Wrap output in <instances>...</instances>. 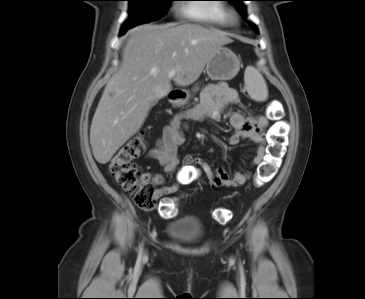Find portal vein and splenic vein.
Listing matches in <instances>:
<instances>
[{
    "label": "portal vein and splenic vein",
    "mask_w": 365,
    "mask_h": 299,
    "mask_svg": "<svg viewBox=\"0 0 365 299\" xmlns=\"http://www.w3.org/2000/svg\"><path fill=\"white\" fill-rule=\"evenodd\" d=\"M175 74H176V71H175V70L170 71V72L168 73V77H169V79L174 78Z\"/></svg>",
    "instance_id": "portal-vein-and-splenic-vein-1"
}]
</instances>
